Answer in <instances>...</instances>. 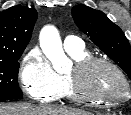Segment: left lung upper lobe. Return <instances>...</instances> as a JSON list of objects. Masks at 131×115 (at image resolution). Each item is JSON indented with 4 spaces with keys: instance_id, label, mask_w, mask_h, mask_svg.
<instances>
[{
    "instance_id": "obj_1",
    "label": "left lung upper lobe",
    "mask_w": 131,
    "mask_h": 115,
    "mask_svg": "<svg viewBox=\"0 0 131 115\" xmlns=\"http://www.w3.org/2000/svg\"><path fill=\"white\" fill-rule=\"evenodd\" d=\"M72 15L79 29L114 60L131 80V49L122 30L102 11L83 4L74 6Z\"/></svg>"
}]
</instances>
